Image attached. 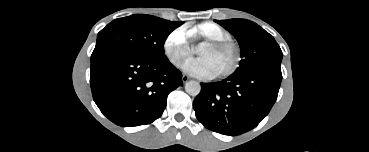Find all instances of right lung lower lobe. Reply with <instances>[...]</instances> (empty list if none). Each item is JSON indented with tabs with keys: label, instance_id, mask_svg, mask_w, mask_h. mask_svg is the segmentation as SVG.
<instances>
[{
	"label": "right lung lower lobe",
	"instance_id": "obj_1",
	"mask_svg": "<svg viewBox=\"0 0 369 152\" xmlns=\"http://www.w3.org/2000/svg\"><path fill=\"white\" fill-rule=\"evenodd\" d=\"M90 85L101 112L113 123L130 127L159 118L168 94L183 82L167 57L112 54L91 61Z\"/></svg>",
	"mask_w": 369,
	"mask_h": 152
}]
</instances>
